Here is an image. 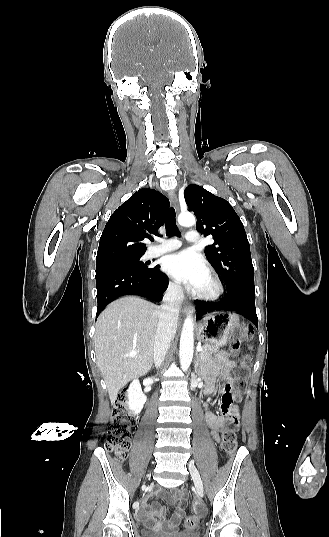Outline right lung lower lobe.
<instances>
[{
	"mask_svg": "<svg viewBox=\"0 0 329 537\" xmlns=\"http://www.w3.org/2000/svg\"><path fill=\"white\" fill-rule=\"evenodd\" d=\"M95 278L98 303L96 319L108 303L124 295H139L160 302L168 286L167 276L159 270L158 265L149 271L100 267L96 269Z\"/></svg>",
	"mask_w": 329,
	"mask_h": 537,
	"instance_id": "1",
	"label": "right lung lower lobe"
}]
</instances>
